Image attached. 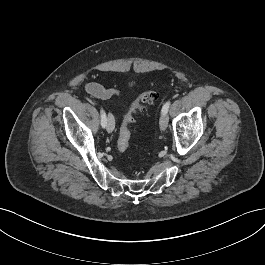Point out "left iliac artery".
I'll list each match as a JSON object with an SVG mask.
<instances>
[{
  "label": "left iliac artery",
  "mask_w": 265,
  "mask_h": 265,
  "mask_svg": "<svg viewBox=\"0 0 265 265\" xmlns=\"http://www.w3.org/2000/svg\"><path fill=\"white\" fill-rule=\"evenodd\" d=\"M170 104H171V102L168 101V102H166V103L163 105V107H162V113H163V114H166V113L168 112V109H169V107H170Z\"/></svg>",
  "instance_id": "left-iliac-artery-1"
}]
</instances>
